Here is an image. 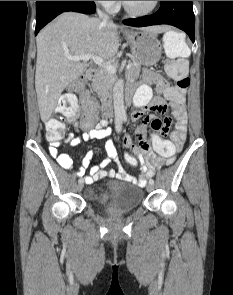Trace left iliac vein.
Masks as SVG:
<instances>
[{"instance_id": "4c4485c4", "label": "left iliac vein", "mask_w": 233, "mask_h": 295, "mask_svg": "<svg viewBox=\"0 0 233 295\" xmlns=\"http://www.w3.org/2000/svg\"><path fill=\"white\" fill-rule=\"evenodd\" d=\"M153 189H154L153 184H148V185L146 186V190H147L148 192L153 191Z\"/></svg>"}]
</instances>
